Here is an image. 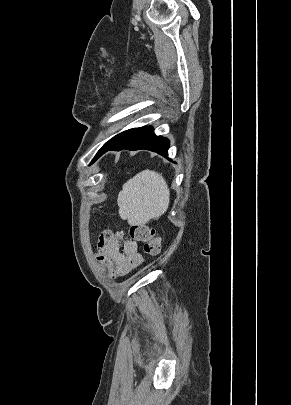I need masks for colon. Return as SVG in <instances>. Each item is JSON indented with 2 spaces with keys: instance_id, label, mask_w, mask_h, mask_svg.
<instances>
[{
  "instance_id": "obj_1",
  "label": "colon",
  "mask_w": 291,
  "mask_h": 405,
  "mask_svg": "<svg viewBox=\"0 0 291 405\" xmlns=\"http://www.w3.org/2000/svg\"><path fill=\"white\" fill-rule=\"evenodd\" d=\"M129 234L132 239L142 243L145 254L157 256L160 253L161 239L153 227L143 224L132 225Z\"/></svg>"
}]
</instances>
